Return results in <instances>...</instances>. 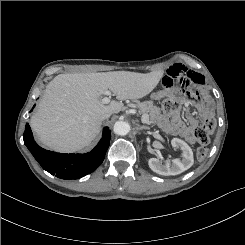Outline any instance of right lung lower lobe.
<instances>
[{
  "instance_id": "right-lung-lower-lobe-1",
  "label": "right lung lower lobe",
  "mask_w": 245,
  "mask_h": 245,
  "mask_svg": "<svg viewBox=\"0 0 245 245\" xmlns=\"http://www.w3.org/2000/svg\"><path fill=\"white\" fill-rule=\"evenodd\" d=\"M23 139L44 170L61 179L70 180L84 177L100 166L110 144V130L109 127H105L98 145L86 154H63L41 148L34 141L29 124H26Z\"/></svg>"
}]
</instances>
